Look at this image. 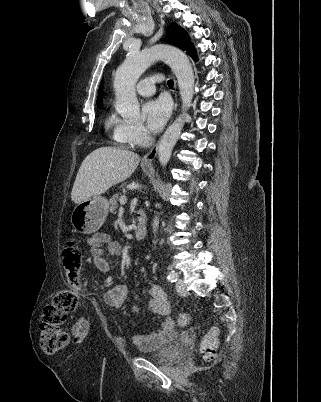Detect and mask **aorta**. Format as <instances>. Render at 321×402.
I'll list each match as a JSON object with an SVG mask.
<instances>
[{"instance_id": "762f6f07", "label": "aorta", "mask_w": 321, "mask_h": 402, "mask_svg": "<svg viewBox=\"0 0 321 402\" xmlns=\"http://www.w3.org/2000/svg\"><path fill=\"white\" fill-rule=\"evenodd\" d=\"M157 60H164L175 74L182 100L183 114L168 127L158 146L160 164L165 167L170 160L172 150L178 141L185 123V112L191 106L194 95V73L187 55L178 48L169 45H155L144 51H129L126 59L115 73L114 89L115 108L125 118H140V105L137 100L135 85L142 73ZM159 225L158 216L153 219V232Z\"/></svg>"}]
</instances>
